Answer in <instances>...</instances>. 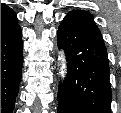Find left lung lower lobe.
Instances as JSON below:
<instances>
[{
	"label": "left lung lower lobe",
	"instance_id": "left-lung-lower-lobe-1",
	"mask_svg": "<svg viewBox=\"0 0 121 113\" xmlns=\"http://www.w3.org/2000/svg\"><path fill=\"white\" fill-rule=\"evenodd\" d=\"M58 46L67 60V77L58 88V113H111L108 57L101 34L66 16Z\"/></svg>",
	"mask_w": 121,
	"mask_h": 113
}]
</instances>
